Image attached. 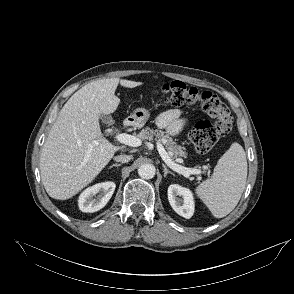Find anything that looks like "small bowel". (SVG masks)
Instances as JSON below:
<instances>
[{
    "label": "small bowel",
    "mask_w": 294,
    "mask_h": 294,
    "mask_svg": "<svg viewBox=\"0 0 294 294\" xmlns=\"http://www.w3.org/2000/svg\"><path fill=\"white\" fill-rule=\"evenodd\" d=\"M185 124L186 119L182 117V112L178 109L167 110L157 118V125L170 135H177Z\"/></svg>",
    "instance_id": "obj_1"
}]
</instances>
